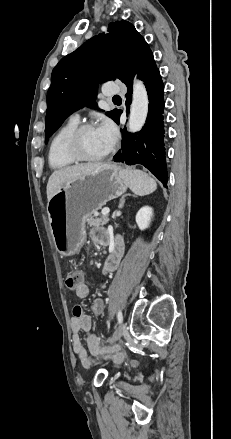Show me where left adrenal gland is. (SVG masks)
I'll list each match as a JSON object with an SVG mask.
<instances>
[{
  "label": "left adrenal gland",
  "instance_id": "1",
  "mask_svg": "<svg viewBox=\"0 0 231 439\" xmlns=\"http://www.w3.org/2000/svg\"><path fill=\"white\" fill-rule=\"evenodd\" d=\"M127 195H124L122 198H121V201H120V204H119V208H123V206H124V203H125V197H126Z\"/></svg>",
  "mask_w": 231,
  "mask_h": 439
}]
</instances>
